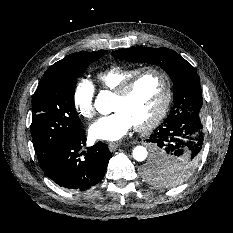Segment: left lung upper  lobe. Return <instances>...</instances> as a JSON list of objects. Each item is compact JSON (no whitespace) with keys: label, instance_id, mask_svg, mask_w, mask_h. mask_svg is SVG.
Returning a JSON list of instances; mask_svg holds the SVG:
<instances>
[{"label":"left lung upper lobe","instance_id":"5c2ea615","mask_svg":"<svg viewBox=\"0 0 233 233\" xmlns=\"http://www.w3.org/2000/svg\"><path fill=\"white\" fill-rule=\"evenodd\" d=\"M112 55L129 62L149 63L162 67L173 81L174 105L165 121L182 115L200 119L201 87L195 68L175 51L167 48L135 47L113 51ZM200 158L185 156L169 159L159 166H146L143 175L149 181L177 185L186 181L195 171Z\"/></svg>","mask_w":233,"mask_h":233}]
</instances>
